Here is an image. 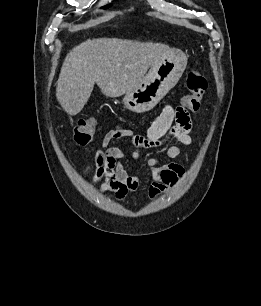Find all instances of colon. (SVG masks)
Here are the masks:
<instances>
[{"label": "colon", "mask_w": 261, "mask_h": 306, "mask_svg": "<svg viewBox=\"0 0 261 306\" xmlns=\"http://www.w3.org/2000/svg\"><path fill=\"white\" fill-rule=\"evenodd\" d=\"M186 88L188 93L182 98V108L192 111L197 110L207 89L205 78L199 71L191 70L186 78ZM94 129L95 124L91 118L80 119L73 132L74 142L80 146L88 145L93 139ZM104 161V152L98 151L95 155L97 168L103 167Z\"/></svg>", "instance_id": "1"}]
</instances>
